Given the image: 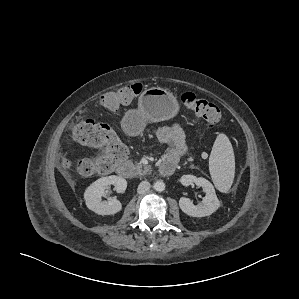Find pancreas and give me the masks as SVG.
<instances>
[{"mask_svg": "<svg viewBox=\"0 0 299 299\" xmlns=\"http://www.w3.org/2000/svg\"><path fill=\"white\" fill-rule=\"evenodd\" d=\"M188 161H192V158H189ZM151 170L149 166H144L141 163H136V173L139 175L146 174Z\"/></svg>", "mask_w": 299, "mask_h": 299, "instance_id": "cf45deb5", "label": "pancreas"}]
</instances>
